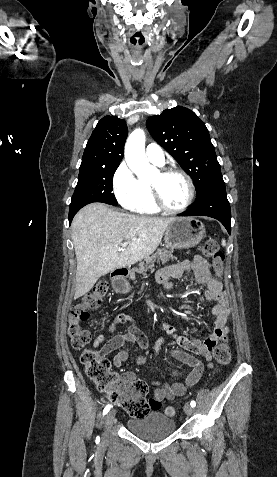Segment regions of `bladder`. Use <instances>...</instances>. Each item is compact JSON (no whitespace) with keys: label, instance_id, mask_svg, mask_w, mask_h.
Listing matches in <instances>:
<instances>
[{"label":"bladder","instance_id":"31cf9c89","mask_svg":"<svg viewBox=\"0 0 277 477\" xmlns=\"http://www.w3.org/2000/svg\"><path fill=\"white\" fill-rule=\"evenodd\" d=\"M129 431L146 440H159L171 435L176 429L173 418L152 411L141 418L129 419L126 422Z\"/></svg>","mask_w":277,"mask_h":477}]
</instances>
